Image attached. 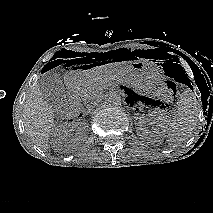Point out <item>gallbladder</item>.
<instances>
[{
    "label": "gallbladder",
    "instance_id": "obj_1",
    "mask_svg": "<svg viewBox=\"0 0 213 213\" xmlns=\"http://www.w3.org/2000/svg\"><path fill=\"white\" fill-rule=\"evenodd\" d=\"M38 86L42 97L54 110L62 112L69 109L64 84L58 72L51 71L42 75L38 80Z\"/></svg>",
    "mask_w": 213,
    "mask_h": 213
}]
</instances>
